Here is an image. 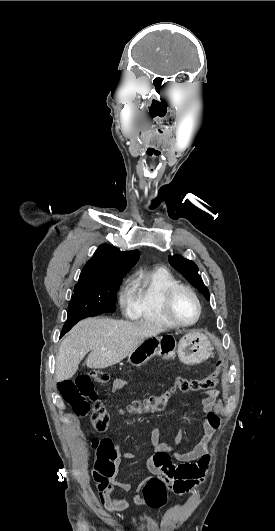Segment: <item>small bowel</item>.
Returning <instances> with one entry per match:
<instances>
[{
  "mask_svg": "<svg viewBox=\"0 0 275 531\" xmlns=\"http://www.w3.org/2000/svg\"><path fill=\"white\" fill-rule=\"evenodd\" d=\"M109 380L114 383L113 388L117 392L128 389V384L123 382L125 380L123 375L112 374ZM219 395V390L201 392L198 395L203 407V435L192 449L188 451H180L178 449L182 440V430L179 431L171 443L161 441V432L159 430H153L151 433V445L154 452L146 459V468L149 472H157L159 478L176 495H183L195 490L209 469L211 463V457L208 453L209 444L220 426V417L215 410V403ZM183 404L188 405L185 401ZM106 443L112 442L109 438H102L93 440L92 445L97 448ZM171 456L176 459L177 464L171 462ZM133 457V452H124L118 456L115 465L119 466L122 461L130 460ZM92 476L96 481L98 499L110 513H124L130 509L129 503L119 495V491L134 492L133 503L138 507L146 505L140 493V487L118 480L116 473L107 479L103 476H98L95 471L92 472Z\"/></svg>",
  "mask_w": 275,
  "mask_h": 531,
  "instance_id": "small-bowel-1",
  "label": "small bowel"
}]
</instances>
